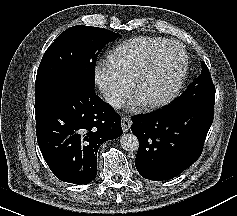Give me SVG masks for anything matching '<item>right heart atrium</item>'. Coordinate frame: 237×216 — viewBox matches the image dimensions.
<instances>
[{
    "label": "right heart atrium",
    "instance_id": "obj_1",
    "mask_svg": "<svg viewBox=\"0 0 237 216\" xmlns=\"http://www.w3.org/2000/svg\"><path fill=\"white\" fill-rule=\"evenodd\" d=\"M93 81L101 88V92L113 103H121L128 94L127 86L113 81L112 76L103 69L102 64L93 72Z\"/></svg>",
    "mask_w": 237,
    "mask_h": 216
}]
</instances>
